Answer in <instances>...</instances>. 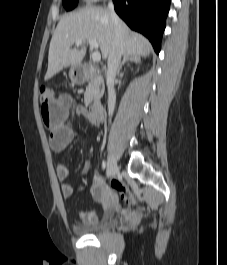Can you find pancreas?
I'll use <instances>...</instances> for the list:
<instances>
[{"instance_id": "1", "label": "pancreas", "mask_w": 227, "mask_h": 265, "mask_svg": "<svg viewBox=\"0 0 227 265\" xmlns=\"http://www.w3.org/2000/svg\"><path fill=\"white\" fill-rule=\"evenodd\" d=\"M102 85V88H101ZM103 79L98 75L94 68L90 70V81L85 91V101L91 102L95 97H98L103 92Z\"/></svg>"}]
</instances>
